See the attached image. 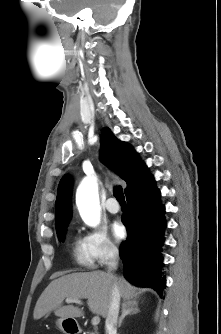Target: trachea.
I'll use <instances>...</instances> for the list:
<instances>
[{"label": "trachea", "mask_w": 221, "mask_h": 334, "mask_svg": "<svg viewBox=\"0 0 221 334\" xmlns=\"http://www.w3.org/2000/svg\"><path fill=\"white\" fill-rule=\"evenodd\" d=\"M113 195L117 199L118 202L120 203L125 202V197H124L123 189L121 186H115L113 190Z\"/></svg>", "instance_id": "1"}]
</instances>
